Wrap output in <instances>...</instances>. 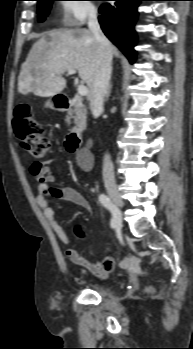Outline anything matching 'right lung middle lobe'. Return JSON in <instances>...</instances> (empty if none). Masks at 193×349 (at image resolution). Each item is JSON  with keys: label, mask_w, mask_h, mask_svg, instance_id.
Instances as JSON below:
<instances>
[{"label": "right lung middle lobe", "mask_w": 193, "mask_h": 349, "mask_svg": "<svg viewBox=\"0 0 193 349\" xmlns=\"http://www.w3.org/2000/svg\"><path fill=\"white\" fill-rule=\"evenodd\" d=\"M38 1V21L42 22L49 14L52 2L55 0H37Z\"/></svg>", "instance_id": "right-lung-middle-lobe-1"}]
</instances>
